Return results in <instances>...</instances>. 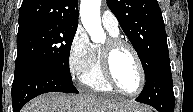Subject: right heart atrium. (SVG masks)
<instances>
[{"label":"right heart atrium","instance_id":"obj_1","mask_svg":"<svg viewBox=\"0 0 193 112\" xmlns=\"http://www.w3.org/2000/svg\"><path fill=\"white\" fill-rule=\"evenodd\" d=\"M93 44L82 27H78L68 49V69L73 77H81L89 67Z\"/></svg>","mask_w":193,"mask_h":112}]
</instances>
